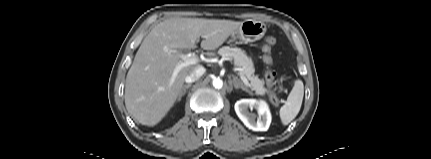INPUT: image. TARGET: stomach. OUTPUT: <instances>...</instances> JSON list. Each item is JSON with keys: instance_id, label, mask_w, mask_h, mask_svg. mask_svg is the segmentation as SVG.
<instances>
[{"instance_id": "1", "label": "stomach", "mask_w": 431, "mask_h": 159, "mask_svg": "<svg viewBox=\"0 0 431 159\" xmlns=\"http://www.w3.org/2000/svg\"><path fill=\"white\" fill-rule=\"evenodd\" d=\"M266 24L253 19L243 21L231 34V42L249 43L261 39L266 32Z\"/></svg>"}]
</instances>
